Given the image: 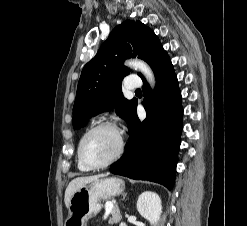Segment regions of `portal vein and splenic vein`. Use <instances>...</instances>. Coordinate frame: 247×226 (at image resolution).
Returning <instances> with one entry per match:
<instances>
[{
  "label": "portal vein and splenic vein",
  "mask_w": 247,
  "mask_h": 226,
  "mask_svg": "<svg viewBox=\"0 0 247 226\" xmlns=\"http://www.w3.org/2000/svg\"><path fill=\"white\" fill-rule=\"evenodd\" d=\"M113 208V204H110L109 205V209L111 210Z\"/></svg>",
  "instance_id": "obj_1"
}]
</instances>
